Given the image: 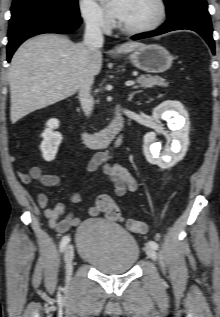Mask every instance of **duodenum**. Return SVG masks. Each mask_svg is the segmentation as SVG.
<instances>
[{
  "label": "duodenum",
  "instance_id": "1",
  "mask_svg": "<svg viewBox=\"0 0 220 317\" xmlns=\"http://www.w3.org/2000/svg\"><path fill=\"white\" fill-rule=\"evenodd\" d=\"M123 123V115L120 111H116L113 119L105 129L95 133L80 130L78 135L81 142L89 148L99 149L109 144L118 146L122 142Z\"/></svg>",
  "mask_w": 220,
  "mask_h": 317
}]
</instances>
